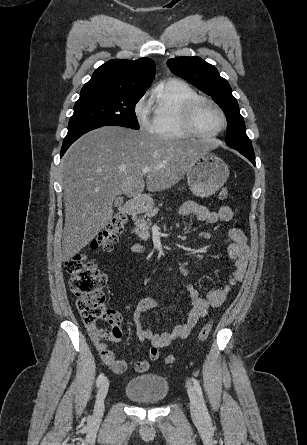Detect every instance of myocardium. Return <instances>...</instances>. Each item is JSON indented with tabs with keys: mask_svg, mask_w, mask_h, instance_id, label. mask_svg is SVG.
I'll return each mask as SVG.
<instances>
[{
	"mask_svg": "<svg viewBox=\"0 0 307 445\" xmlns=\"http://www.w3.org/2000/svg\"><path fill=\"white\" fill-rule=\"evenodd\" d=\"M201 103H208L213 106H215L222 114L223 117V127L221 130L215 132V133H206L204 132L201 127L198 124L197 121V110ZM183 115L186 122V125L188 129L190 130L191 134H194L200 139H206V138H212L219 136L222 134L228 127V115L224 107L216 102L213 99L203 97V96H196L192 100H190L183 108Z\"/></svg>",
	"mask_w": 307,
	"mask_h": 445,
	"instance_id": "f54148a6",
	"label": "myocardium"
}]
</instances>
